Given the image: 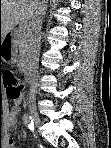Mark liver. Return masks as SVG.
<instances>
[{"instance_id": "1", "label": "liver", "mask_w": 111, "mask_h": 148, "mask_svg": "<svg viewBox=\"0 0 111 148\" xmlns=\"http://www.w3.org/2000/svg\"><path fill=\"white\" fill-rule=\"evenodd\" d=\"M40 0H1L0 37L5 39L6 35L19 23L29 21L36 10L37 2Z\"/></svg>"}]
</instances>
